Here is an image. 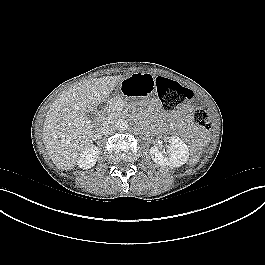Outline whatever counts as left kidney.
<instances>
[{"mask_svg":"<svg viewBox=\"0 0 265 265\" xmlns=\"http://www.w3.org/2000/svg\"><path fill=\"white\" fill-rule=\"evenodd\" d=\"M170 147L161 151L158 146L150 148L152 160L161 166L180 167L189 158L188 146L177 136L170 137Z\"/></svg>","mask_w":265,"mask_h":265,"instance_id":"left-kidney-1","label":"left kidney"}]
</instances>
